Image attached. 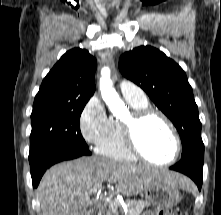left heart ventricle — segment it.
<instances>
[{
    "mask_svg": "<svg viewBox=\"0 0 221 215\" xmlns=\"http://www.w3.org/2000/svg\"><path fill=\"white\" fill-rule=\"evenodd\" d=\"M138 144L150 159L168 161L174 153V139L167 126L157 117L148 118L138 129Z\"/></svg>",
    "mask_w": 221,
    "mask_h": 215,
    "instance_id": "1",
    "label": "left heart ventricle"
}]
</instances>
